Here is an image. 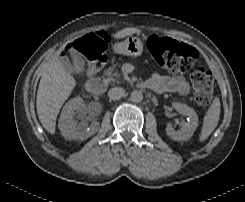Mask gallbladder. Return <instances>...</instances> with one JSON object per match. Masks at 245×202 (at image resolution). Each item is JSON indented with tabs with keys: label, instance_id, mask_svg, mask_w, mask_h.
<instances>
[{
	"label": "gallbladder",
	"instance_id": "bac80fb5",
	"mask_svg": "<svg viewBox=\"0 0 245 202\" xmlns=\"http://www.w3.org/2000/svg\"><path fill=\"white\" fill-rule=\"evenodd\" d=\"M70 55L72 58L73 70L77 75H82L85 71V59L84 57L76 52L70 51Z\"/></svg>",
	"mask_w": 245,
	"mask_h": 202
}]
</instances>
